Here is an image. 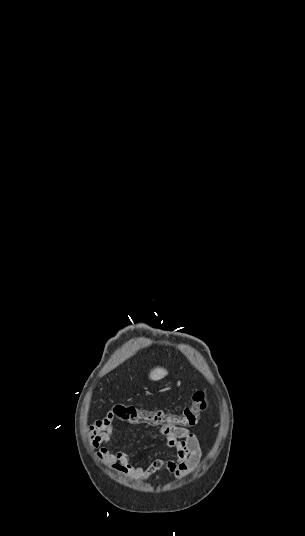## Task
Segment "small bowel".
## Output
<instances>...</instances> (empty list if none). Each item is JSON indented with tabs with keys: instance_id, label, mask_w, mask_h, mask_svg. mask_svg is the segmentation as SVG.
Masks as SVG:
<instances>
[{
	"instance_id": "small-bowel-1",
	"label": "small bowel",
	"mask_w": 305,
	"mask_h": 536,
	"mask_svg": "<svg viewBox=\"0 0 305 536\" xmlns=\"http://www.w3.org/2000/svg\"><path fill=\"white\" fill-rule=\"evenodd\" d=\"M114 411H103L101 419H96L88 434L89 443L95 456L112 471L139 481H147L156 472L166 469L181 479L189 475L201 458V447L197 436L187 427H160V434L168 448L174 450L173 458H157L147 466L126 451L117 447L113 440L111 425H114Z\"/></svg>"
}]
</instances>
